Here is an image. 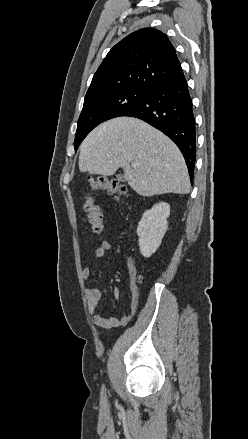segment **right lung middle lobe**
<instances>
[{
	"label": "right lung middle lobe",
	"mask_w": 248,
	"mask_h": 439,
	"mask_svg": "<svg viewBox=\"0 0 248 439\" xmlns=\"http://www.w3.org/2000/svg\"><path fill=\"white\" fill-rule=\"evenodd\" d=\"M146 94L144 90L121 89L84 102L75 134V150L92 129L104 121L119 117Z\"/></svg>",
	"instance_id": "1"
}]
</instances>
